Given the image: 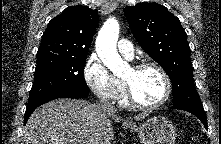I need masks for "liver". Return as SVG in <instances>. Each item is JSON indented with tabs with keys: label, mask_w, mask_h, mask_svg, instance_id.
<instances>
[{
	"label": "liver",
	"mask_w": 221,
	"mask_h": 144,
	"mask_svg": "<svg viewBox=\"0 0 221 144\" xmlns=\"http://www.w3.org/2000/svg\"><path fill=\"white\" fill-rule=\"evenodd\" d=\"M146 114L134 117L140 121ZM112 119L99 104L85 100L57 99L38 107L23 129L22 144H111Z\"/></svg>",
	"instance_id": "6515ba94"
}]
</instances>
